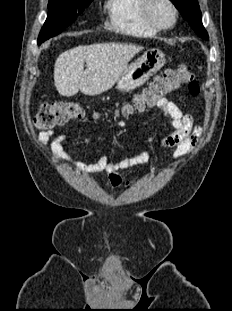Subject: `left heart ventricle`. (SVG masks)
Here are the masks:
<instances>
[{
    "instance_id": "obj_1",
    "label": "left heart ventricle",
    "mask_w": 232,
    "mask_h": 311,
    "mask_svg": "<svg viewBox=\"0 0 232 311\" xmlns=\"http://www.w3.org/2000/svg\"><path fill=\"white\" fill-rule=\"evenodd\" d=\"M150 16L155 22L161 25H167L172 20V11L164 1L155 0L150 5Z\"/></svg>"
}]
</instances>
